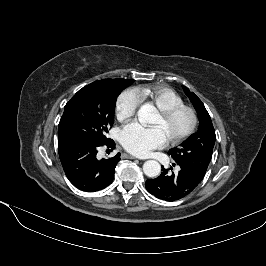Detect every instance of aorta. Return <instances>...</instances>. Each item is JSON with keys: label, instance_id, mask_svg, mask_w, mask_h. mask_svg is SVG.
Instances as JSON below:
<instances>
[{"label": "aorta", "instance_id": "1", "mask_svg": "<svg viewBox=\"0 0 266 266\" xmlns=\"http://www.w3.org/2000/svg\"><path fill=\"white\" fill-rule=\"evenodd\" d=\"M138 120L142 125L151 124L154 117L153 107L149 104H145L140 107L137 112ZM143 171L146 176L154 178L161 172L160 164L155 160H148L143 164Z\"/></svg>", "mask_w": 266, "mask_h": 266}]
</instances>
